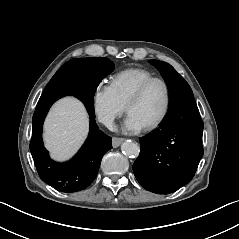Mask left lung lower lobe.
I'll return each instance as SVG.
<instances>
[{"label":"left lung lower lobe","instance_id":"1","mask_svg":"<svg viewBox=\"0 0 239 239\" xmlns=\"http://www.w3.org/2000/svg\"><path fill=\"white\" fill-rule=\"evenodd\" d=\"M203 127L193 96L170 105L162 124L140 139V155L133 164L140 185L168 194L190 182L203 156Z\"/></svg>","mask_w":239,"mask_h":239}]
</instances>
